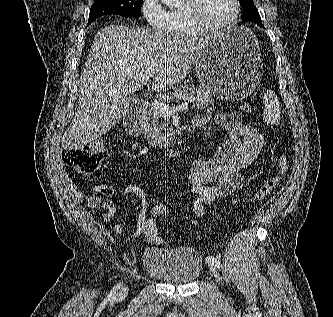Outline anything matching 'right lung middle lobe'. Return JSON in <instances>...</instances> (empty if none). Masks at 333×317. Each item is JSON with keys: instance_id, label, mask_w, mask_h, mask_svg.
<instances>
[{"instance_id": "1", "label": "right lung middle lobe", "mask_w": 333, "mask_h": 317, "mask_svg": "<svg viewBox=\"0 0 333 317\" xmlns=\"http://www.w3.org/2000/svg\"><path fill=\"white\" fill-rule=\"evenodd\" d=\"M143 0H95L90 9L88 24L96 18L115 14L121 16H140Z\"/></svg>"}]
</instances>
